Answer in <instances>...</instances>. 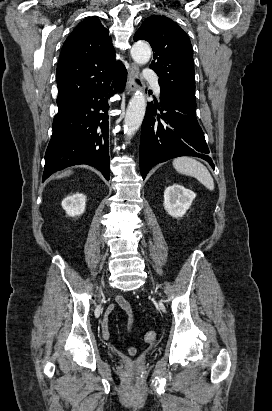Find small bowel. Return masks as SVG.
Here are the masks:
<instances>
[{
    "label": "small bowel",
    "instance_id": "obj_1",
    "mask_svg": "<svg viewBox=\"0 0 272 411\" xmlns=\"http://www.w3.org/2000/svg\"><path fill=\"white\" fill-rule=\"evenodd\" d=\"M116 304L122 308L125 313L127 314V329L130 331L132 329V325H133V321H134V315H133V310L131 305L121 296H118L116 298ZM114 309V305H111L109 307V311ZM101 330H102V336L105 340H109L110 335L108 332V327H107V322L106 319L102 322V326H101ZM127 352L128 354L132 355L135 353V349L133 347H128L127 348Z\"/></svg>",
    "mask_w": 272,
    "mask_h": 411
}]
</instances>
